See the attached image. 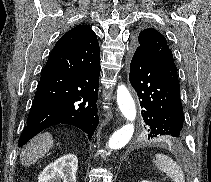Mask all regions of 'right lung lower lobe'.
Instances as JSON below:
<instances>
[{"label": "right lung lower lobe", "instance_id": "98d812e1", "mask_svg": "<svg viewBox=\"0 0 211 182\" xmlns=\"http://www.w3.org/2000/svg\"><path fill=\"white\" fill-rule=\"evenodd\" d=\"M100 48L94 32L77 41H59L43 70L19 147L57 124L76 126L91 139L99 122L97 95Z\"/></svg>", "mask_w": 211, "mask_h": 182}]
</instances>
